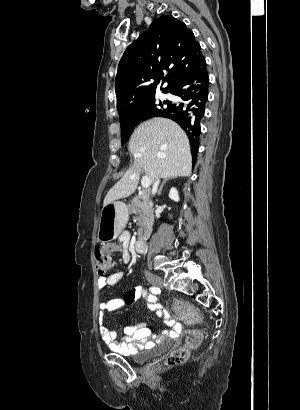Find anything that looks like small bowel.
I'll use <instances>...</instances> for the list:
<instances>
[{"label":"small bowel","mask_w":300,"mask_h":410,"mask_svg":"<svg viewBox=\"0 0 300 410\" xmlns=\"http://www.w3.org/2000/svg\"><path fill=\"white\" fill-rule=\"evenodd\" d=\"M120 242L122 246V259L126 262L128 260L129 236L127 234H122L120 236ZM122 278L123 272L116 271L108 276L99 278L98 285L100 288L114 286ZM139 298H143L149 309L155 312L159 317L163 318L170 329L164 331L161 336L156 337L153 336L151 329L144 324L127 326L123 329V341H118L117 333L108 328L105 324L104 314L105 312L119 311ZM99 311L98 323L100 337L112 351L121 355L135 354L143 349L151 347L161 338L177 335L180 330L179 324L170 317L169 313L161 306L158 299L155 296L147 294L141 287L132 288L124 299L117 298L100 302Z\"/></svg>","instance_id":"small-bowel-1"}]
</instances>
